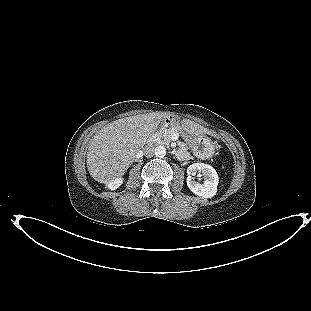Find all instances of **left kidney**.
Instances as JSON below:
<instances>
[{"mask_svg": "<svg viewBox=\"0 0 311 311\" xmlns=\"http://www.w3.org/2000/svg\"><path fill=\"white\" fill-rule=\"evenodd\" d=\"M196 171L202 174L204 182L201 184L196 182L191 175ZM187 186L195 195L203 198H212L216 195L219 177L216 170L204 163H194L187 169Z\"/></svg>", "mask_w": 311, "mask_h": 311, "instance_id": "5707ae66", "label": "left kidney"}]
</instances>
